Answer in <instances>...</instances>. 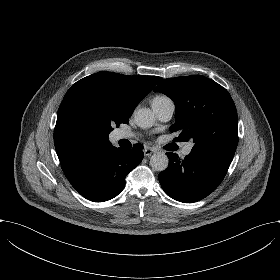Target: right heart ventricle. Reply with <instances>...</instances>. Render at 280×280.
Returning a JSON list of instances; mask_svg holds the SVG:
<instances>
[{
    "label": "right heart ventricle",
    "mask_w": 280,
    "mask_h": 280,
    "mask_svg": "<svg viewBox=\"0 0 280 280\" xmlns=\"http://www.w3.org/2000/svg\"><path fill=\"white\" fill-rule=\"evenodd\" d=\"M160 97H165V96H157V97H155L154 99H156V98H160ZM154 99H153V100H154Z\"/></svg>",
    "instance_id": "e07e8e85"
}]
</instances>
